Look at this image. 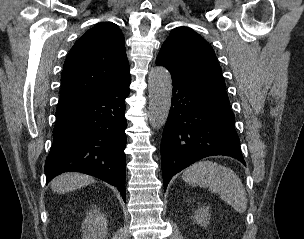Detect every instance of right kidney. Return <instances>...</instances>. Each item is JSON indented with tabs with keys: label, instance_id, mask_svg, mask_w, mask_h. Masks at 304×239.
<instances>
[{
	"label": "right kidney",
	"instance_id": "right-kidney-1",
	"mask_svg": "<svg viewBox=\"0 0 304 239\" xmlns=\"http://www.w3.org/2000/svg\"><path fill=\"white\" fill-rule=\"evenodd\" d=\"M107 218L99 210L90 211L82 223V239H105Z\"/></svg>",
	"mask_w": 304,
	"mask_h": 239
}]
</instances>
